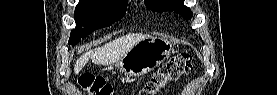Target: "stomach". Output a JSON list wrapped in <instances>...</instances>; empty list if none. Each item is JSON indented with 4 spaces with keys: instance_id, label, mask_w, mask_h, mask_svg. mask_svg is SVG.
<instances>
[{
    "instance_id": "0dacf381",
    "label": "stomach",
    "mask_w": 277,
    "mask_h": 95,
    "mask_svg": "<svg viewBox=\"0 0 277 95\" xmlns=\"http://www.w3.org/2000/svg\"><path fill=\"white\" fill-rule=\"evenodd\" d=\"M171 51V42L150 36L131 48L115 63V67L125 76L140 77L158 67L169 57Z\"/></svg>"
}]
</instances>
